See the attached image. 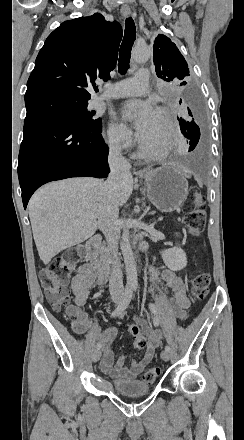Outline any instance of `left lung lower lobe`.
Masks as SVG:
<instances>
[{
    "instance_id": "obj_1",
    "label": "left lung lower lobe",
    "mask_w": 244,
    "mask_h": 440,
    "mask_svg": "<svg viewBox=\"0 0 244 440\" xmlns=\"http://www.w3.org/2000/svg\"><path fill=\"white\" fill-rule=\"evenodd\" d=\"M182 104V113L185 117L178 118L180 121V128L183 135L189 139V151H192L200 139V106L198 99L192 90L186 91L182 99L179 101Z\"/></svg>"
}]
</instances>
